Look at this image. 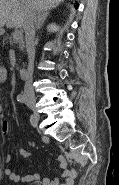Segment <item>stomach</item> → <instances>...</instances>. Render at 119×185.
I'll return each instance as SVG.
<instances>
[{
    "instance_id": "0dacf381",
    "label": "stomach",
    "mask_w": 119,
    "mask_h": 185,
    "mask_svg": "<svg viewBox=\"0 0 119 185\" xmlns=\"http://www.w3.org/2000/svg\"><path fill=\"white\" fill-rule=\"evenodd\" d=\"M4 33L3 29L0 28V35H2Z\"/></svg>"
}]
</instances>
